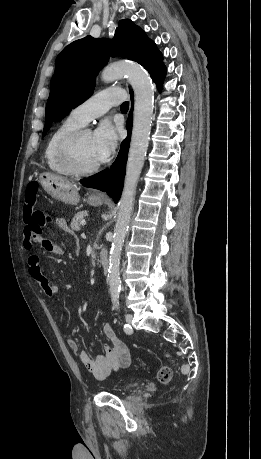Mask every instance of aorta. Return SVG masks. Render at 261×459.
<instances>
[{
	"instance_id": "obj_1",
	"label": "aorta",
	"mask_w": 261,
	"mask_h": 459,
	"mask_svg": "<svg viewBox=\"0 0 261 459\" xmlns=\"http://www.w3.org/2000/svg\"><path fill=\"white\" fill-rule=\"evenodd\" d=\"M127 77L134 95V119L124 187L119 201V211L109 256L108 278L113 300L119 298L121 280L119 267L121 251L133 211L138 180L147 153L153 116L154 88L149 74L137 63L119 62L107 66L101 73L104 82Z\"/></svg>"
}]
</instances>
